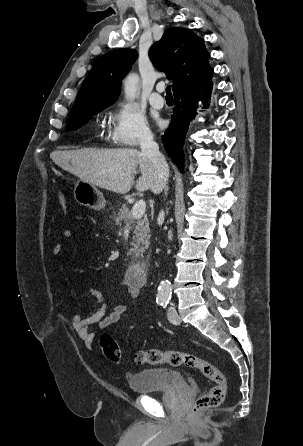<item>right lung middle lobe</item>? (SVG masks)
I'll list each match as a JSON object with an SVG mask.
<instances>
[{"label":"right lung middle lobe","mask_w":303,"mask_h":446,"mask_svg":"<svg viewBox=\"0 0 303 446\" xmlns=\"http://www.w3.org/2000/svg\"><path fill=\"white\" fill-rule=\"evenodd\" d=\"M106 107L107 106H100V107H96L93 109H89L84 112L72 114L70 117L69 123L67 125L66 131L76 130V129L80 128L85 122H87L89 120V118L93 114L100 112L101 110H103Z\"/></svg>","instance_id":"dd1d6c3e"}]
</instances>
